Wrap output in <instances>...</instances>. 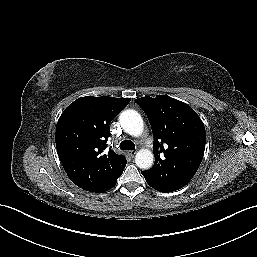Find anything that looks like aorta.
<instances>
[{"mask_svg": "<svg viewBox=\"0 0 257 257\" xmlns=\"http://www.w3.org/2000/svg\"><path fill=\"white\" fill-rule=\"evenodd\" d=\"M119 122L122 128L132 136H139L144 129L141 115L135 110H125L120 114ZM154 161L153 153L148 149H141L135 156V163L140 169L147 170L152 167Z\"/></svg>", "mask_w": 257, "mask_h": 257, "instance_id": "obj_1", "label": "aorta"}]
</instances>
